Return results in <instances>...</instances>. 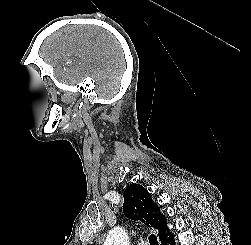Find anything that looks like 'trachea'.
Segmentation results:
<instances>
[{
    "instance_id": "trachea-1",
    "label": "trachea",
    "mask_w": 251,
    "mask_h": 245,
    "mask_svg": "<svg viewBox=\"0 0 251 245\" xmlns=\"http://www.w3.org/2000/svg\"><path fill=\"white\" fill-rule=\"evenodd\" d=\"M149 243H150V245H158L157 238L154 234H151L149 236Z\"/></svg>"
}]
</instances>
